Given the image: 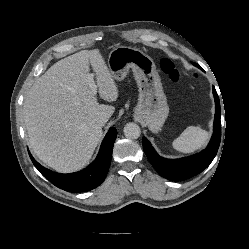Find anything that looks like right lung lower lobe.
Returning a JSON list of instances; mask_svg holds the SVG:
<instances>
[{"label": "right lung lower lobe", "instance_id": "right-lung-lower-lobe-1", "mask_svg": "<svg viewBox=\"0 0 249 249\" xmlns=\"http://www.w3.org/2000/svg\"><path fill=\"white\" fill-rule=\"evenodd\" d=\"M116 136V129L111 127L106 134L101 144L100 151L93 163L84 170L75 173L61 174L50 171L36 162L30 153L29 156L40 173L58 188L68 192H85L92 190L103 183L110 166L113 144Z\"/></svg>", "mask_w": 249, "mask_h": 249}]
</instances>
